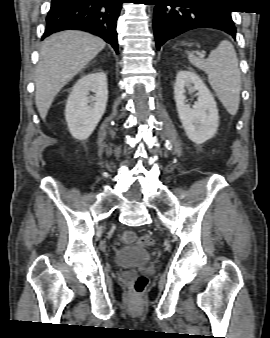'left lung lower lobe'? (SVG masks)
Instances as JSON below:
<instances>
[{"label": "left lung lower lobe", "mask_w": 270, "mask_h": 338, "mask_svg": "<svg viewBox=\"0 0 270 338\" xmlns=\"http://www.w3.org/2000/svg\"><path fill=\"white\" fill-rule=\"evenodd\" d=\"M151 2L156 5L153 27L158 50L167 40L196 28L219 29L235 39L236 29L231 18L232 11L225 8L223 0H151Z\"/></svg>", "instance_id": "0a47b994"}]
</instances>
